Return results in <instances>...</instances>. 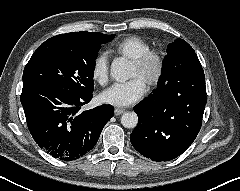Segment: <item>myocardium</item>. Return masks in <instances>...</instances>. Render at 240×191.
I'll return each instance as SVG.
<instances>
[{
    "mask_svg": "<svg viewBox=\"0 0 240 191\" xmlns=\"http://www.w3.org/2000/svg\"><path fill=\"white\" fill-rule=\"evenodd\" d=\"M132 64L140 71L153 66L154 70L151 76L146 78L145 84L148 88L156 87L162 80L165 72V58L162 52L150 49L138 58L132 60Z\"/></svg>",
    "mask_w": 240,
    "mask_h": 191,
    "instance_id": "myocardium-1",
    "label": "myocardium"
}]
</instances>
